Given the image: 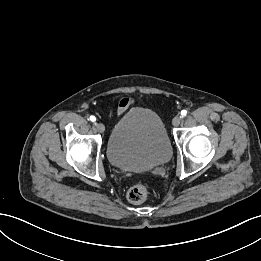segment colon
<instances>
[{
	"label": "colon",
	"instance_id": "colon-1",
	"mask_svg": "<svg viewBox=\"0 0 261 261\" xmlns=\"http://www.w3.org/2000/svg\"><path fill=\"white\" fill-rule=\"evenodd\" d=\"M149 190L143 183H137L131 186L127 192V198L130 202L138 204L146 200Z\"/></svg>",
	"mask_w": 261,
	"mask_h": 261
}]
</instances>
